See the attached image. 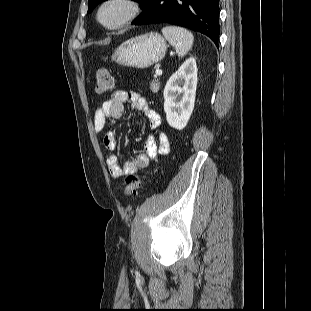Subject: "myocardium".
<instances>
[{"mask_svg":"<svg viewBox=\"0 0 311 311\" xmlns=\"http://www.w3.org/2000/svg\"><path fill=\"white\" fill-rule=\"evenodd\" d=\"M120 5L123 8L122 16L112 24L103 20V11L110 5ZM139 13V4L136 0H104L98 7L96 18L97 21L108 30H118L132 22Z\"/></svg>","mask_w":311,"mask_h":311,"instance_id":"obj_1","label":"myocardium"}]
</instances>
